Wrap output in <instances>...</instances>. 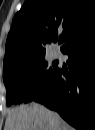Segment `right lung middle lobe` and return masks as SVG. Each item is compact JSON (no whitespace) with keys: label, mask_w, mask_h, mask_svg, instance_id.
Here are the masks:
<instances>
[{"label":"right lung middle lobe","mask_w":95,"mask_h":130,"mask_svg":"<svg viewBox=\"0 0 95 130\" xmlns=\"http://www.w3.org/2000/svg\"><path fill=\"white\" fill-rule=\"evenodd\" d=\"M57 67H49L44 58L32 63L3 71L6 87V103L29 102L56 72Z\"/></svg>","instance_id":"obj_1"}]
</instances>
